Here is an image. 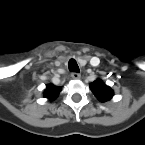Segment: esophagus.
Here are the masks:
<instances>
[{
  "label": "esophagus",
  "instance_id": "obj_1",
  "mask_svg": "<svg viewBox=\"0 0 145 145\" xmlns=\"http://www.w3.org/2000/svg\"><path fill=\"white\" fill-rule=\"evenodd\" d=\"M71 77H72V79L77 80V79H79V78L81 77V75H80V73H78V72H73V73L71 74Z\"/></svg>",
  "mask_w": 145,
  "mask_h": 145
}]
</instances>
